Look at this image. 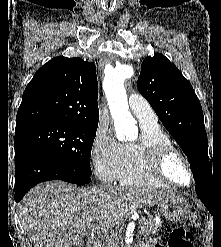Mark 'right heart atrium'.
Segmentation results:
<instances>
[{
	"instance_id": "right-heart-atrium-1",
	"label": "right heart atrium",
	"mask_w": 221,
	"mask_h": 247,
	"mask_svg": "<svg viewBox=\"0 0 221 247\" xmlns=\"http://www.w3.org/2000/svg\"><path fill=\"white\" fill-rule=\"evenodd\" d=\"M122 145L110 130L99 127L90 147V160L96 176L103 182L114 181L118 174Z\"/></svg>"
}]
</instances>
